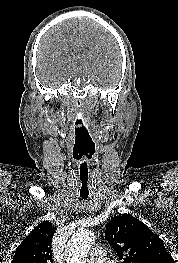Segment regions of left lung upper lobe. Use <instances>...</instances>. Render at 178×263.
I'll list each match as a JSON object with an SVG mask.
<instances>
[{
    "label": "left lung upper lobe",
    "mask_w": 178,
    "mask_h": 263,
    "mask_svg": "<svg viewBox=\"0 0 178 263\" xmlns=\"http://www.w3.org/2000/svg\"><path fill=\"white\" fill-rule=\"evenodd\" d=\"M105 239L122 263H174L163 241L130 214L112 217Z\"/></svg>",
    "instance_id": "1"
}]
</instances>
